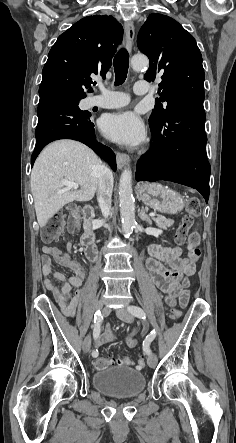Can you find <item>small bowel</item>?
I'll list each match as a JSON object with an SVG mask.
<instances>
[{
    "mask_svg": "<svg viewBox=\"0 0 236 443\" xmlns=\"http://www.w3.org/2000/svg\"><path fill=\"white\" fill-rule=\"evenodd\" d=\"M67 246L70 247L71 243L68 242ZM150 255L147 267L153 284L164 293L169 305L178 304L184 307L189 299L188 278L194 275L195 264L190 259L181 257V249L178 246L154 245L150 249ZM52 261L70 269L74 274L66 278L62 273L54 271ZM42 272L45 277V287L54 295L63 312L72 316L82 298L81 288L85 272L81 264L58 247L46 246L43 248ZM55 281L61 282V285ZM73 288L76 291L72 295ZM112 339L111 332L106 330L94 339V345L97 347ZM127 343L130 346L135 344L132 339H128Z\"/></svg>",
    "mask_w": 236,
    "mask_h": 443,
    "instance_id": "c3829d8e",
    "label": "small bowel"
}]
</instances>
